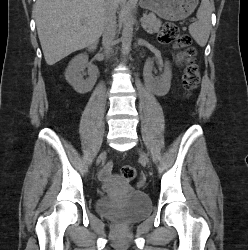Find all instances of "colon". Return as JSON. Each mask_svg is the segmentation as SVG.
Instances as JSON below:
<instances>
[{"mask_svg":"<svg viewBox=\"0 0 248 250\" xmlns=\"http://www.w3.org/2000/svg\"><path fill=\"white\" fill-rule=\"evenodd\" d=\"M160 40L163 43H173L175 46L185 49L187 64L184 69L182 83L186 93H191L199 85L200 71L194 59L195 50L191 46L190 38L182 34L175 25L166 23L161 30ZM120 175L125 182L129 183L135 179L136 170L131 165H125L121 168Z\"/></svg>","mask_w":248,"mask_h":250,"instance_id":"1","label":"colon"}]
</instances>
